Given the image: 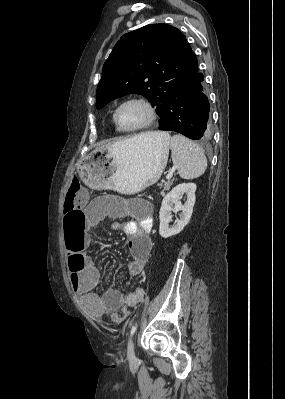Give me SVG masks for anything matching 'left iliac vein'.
Listing matches in <instances>:
<instances>
[{
    "instance_id": "1",
    "label": "left iliac vein",
    "mask_w": 285,
    "mask_h": 399,
    "mask_svg": "<svg viewBox=\"0 0 285 399\" xmlns=\"http://www.w3.org/2000/svg\"><path fill=\"white\" fill-rule=\"evenodd\" d=\"M127 357L129 359L134 358V344H133V339L132 338H130V340L128 342Z\"/></svg>"
}]
</instances>
